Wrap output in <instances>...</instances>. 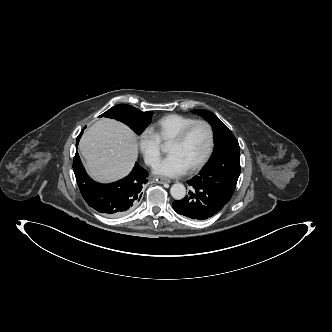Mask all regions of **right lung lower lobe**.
<instances>
[{"mask_svg":"<svg viewBox=\"0 0 332 332\" xmlns=\"http://www.w3.org/2000/svg\"><path fill=\"white\" fill-rule=\"evenodd\" d=\"M82 133L83 130L77 138L76 147ZM73 170L87 204L106 217L116 218L132 212L140 202L143 184L147 183V171L138 163L127 177L115 183H97L86 174L77 152L73 159Z\"/></svg>","mask_w":332,"mask_h":332,"instance_id":"1","label":"right lung lower lobe"}]
</instances>
